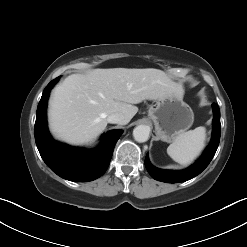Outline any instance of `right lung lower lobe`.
Segmentation results:
<instances>
[{
    "label": "right lung lower lobe",
    "instance_id": "98d812e1",
    "mask_svg": "<svg viewBox=\"0 0 247 247\" xmlns=\"http://www.w3.org/2000/svg\"><path fill=\"white\" fill-rule=\"evenodd\" d=\"M58 80L59 77L47 85L38 104L35 122L37 148L47 166L60 177L75 182L95 180L107 170L122 131L107 132L101 145L92 151L72 148L53 140L47 129L46 107L50 90Z\"/></svg>",
    "mask_w": 247,
    "mask_h": 247
}]
</instances>
